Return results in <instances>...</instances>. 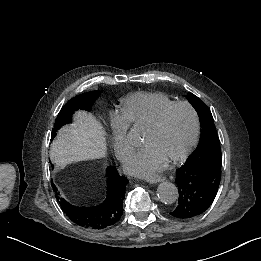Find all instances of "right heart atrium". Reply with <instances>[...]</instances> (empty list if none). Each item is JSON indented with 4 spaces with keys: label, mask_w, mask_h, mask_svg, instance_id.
<instances>
[{
    "label": "right heart atrium",
    "mask_w": 261,
    "mask_h": 261,
    "mask_svg": "<svg viewBox=\"0 0 261 261\" xmlns=\"http://www.w3.org/2000/svg\"><path fill=\"white\" fill-rule=\"evenodd\" d=\"M128 130V122L120 117V113L116 120H113L109 132L112 136L111 149L116 153L119 159L124 158V153L128 150L126 135Z\"/></svg>",
    "instance_id": "right-heart-atrium-1"
}]
</instances>
